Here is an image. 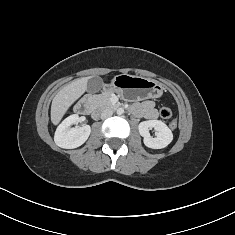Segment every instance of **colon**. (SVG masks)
I'll return each mask as SVG.
<instances>
[{
	"instance_id": "1",
	"label": "colon",
	"mask_w": 235,
	"mask_h": 235,
	"mask_svg": "<svg viewBox=\"0 0 235 235\" xmlns=\"http://www.w3.org/2000/svg\"><path fill=\"white\" fill-rule=\"evenodd\" d=\"M160 116L164 119H168L172 116V110L169 107H166V106L161 107ZM169 126H170L171 129H175L176 126H177L176 121H171Z\"/></svg>"
}]
</instances>
